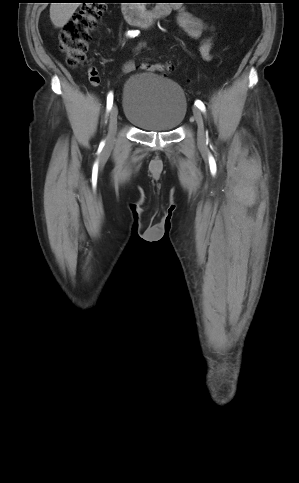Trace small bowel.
I'll return each instance as SVG.
<instances>
[{
  "mask_svg": "<svg viewBox=\"0 0 299 483\" xmlns=\"http://www.w3.org/2000/svg\"><path fill=\"white\" fill-rule=\"evenodd\" d=\"M175 9H176V18H177L178 27L189 37L194 39L199 38L206 29L203 21L200 18L190 14L182 6H177ZM211 46H212V43L210 41H205L202 43L200 47L201 55L207 61L211 59V54H210ZM142 47H143V44L142 43L139 44L136 48V51H140ZM133 68H134V64L132 62H127L126 64H124L122 71L124 73H127L133 70ZM88 74L92 84H97L99 82L98 72L95 67H90L88 69Z\"/></svg>",
  "mask_w": 299,
  "mask_h": 483,
  "instance_id": "1",
  "label": "small bowel"
}]
</instances>
